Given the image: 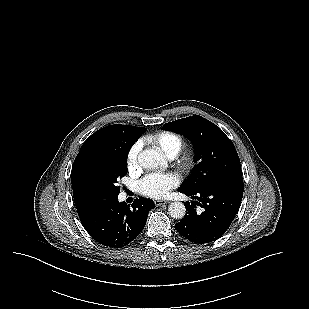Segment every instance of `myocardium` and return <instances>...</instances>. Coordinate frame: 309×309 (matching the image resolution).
I'll list each match as a JSON object with an SVG mask.
<instances>
[{
	"instance_id": "obj_1",
	"label": "myocardium",
	"mask_w": 309,
	"mask_h": 309,
	"mask_svg": "<svg viewBox=\"0 0 309 309\" xmlns=\"http://www.w3.org/2000/svg\"><path fill=\"white\" fill-rule=\"evenodd\" d=\"M181 151V150H180ZM195 163V152L191 148L180 152V165L184 169H190Z\"/></svg>"
}]
</instances>
